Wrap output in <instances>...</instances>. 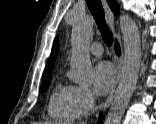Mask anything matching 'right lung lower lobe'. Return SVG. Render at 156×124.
Wrapping results in <instances>:
<instances>
[{"instance_id": "98d812e1", "label": "right lung lower lobe", "mask_w": 156, "mask_h": 124, "mask_svg": "<svg viewBox=\"0 0 156 124\" xmlns=\"http://www.w3.org/2000/svg\"><path fill=\"white\" fill-rule=\"evenodd\" d=\"M116 52H117V54H120V49H119V46H118L117 43H116ZM101 118H102V114H101L100 117H99L98 124H102V122H101Z\"/></svg>"}]
</instances>
